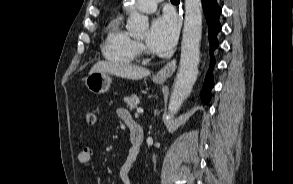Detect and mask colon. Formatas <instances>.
<instances>
[{"mask_svg":"<svg viewBox=\"0 0 293 184\" xmlns=\"http://www.w3.org/2000/svg\"><path fill=\"white\" fill-rule=\"evenodd\" d=\"M86 122L89 125H93L96 122V114L93 110H88L86 113Z\"/></svg>","mask_w":293,"mask_h":184,"instance_id":"colon-1","label":"colon"}]
</instances>
